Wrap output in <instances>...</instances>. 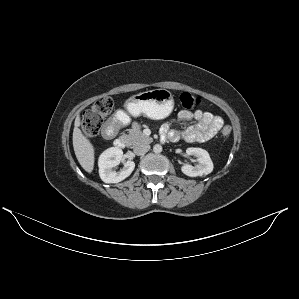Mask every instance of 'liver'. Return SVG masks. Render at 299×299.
Masks as SVG:
<instances>
[{
  "instance_id": "liver-1",
  "label": "liver",
  "mask_w": 299,
  "mask_h": 299,
  "mask_svg": "<svg viewBox=\"0 0 299 299\" xmlns=\"http://www.w3.org/2000/svg\"><path fill=\"white\" fill-rule=\"evenodd\" d=\"M81 124L79 115L74 122L73 148L78 162L82 168L91 173L94 168V147L91 142L82 134L79 126Z\"/></svg>"
}]
</instances>
